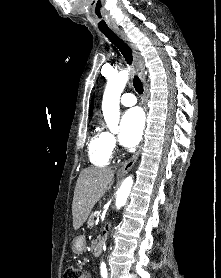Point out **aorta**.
Returning <instances> with one entry per match:
<instances>
[{"label": "aorta", "mask_w": 221, "mask_h": 278, "mask_svg": "<svg viewBox=\"0 0 221 278\" xmlns=\"http://www.w3.org/2000/svg\"><path fill=\"white\" fill-rule=\"evenodd\" d=\"M129 71L122 70L119 73L108 78L107 85L103 95L102 111L104 119L109 127L119 119V104L121 93L128 81ZM133 186L132 176L127 177L117 192L116 208L119 209L125 205L127 198Z\"/></svg>", "instance_id": "1"}]
</instances>
